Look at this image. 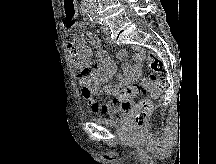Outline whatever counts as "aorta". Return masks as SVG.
Returning <instances> with one entry per match:
<instances>
[{"label": "aorta", "instance_id": "1", "mask_svg": "<svg viewBox=\"0 0 216 164\" xmlns=\"http://www.w3.org/2000/svg\"><path fill=\"white\" fill-rule=\"evenodd\" d=\"M87 10L91 17H95L97 14V0H86Z\"/></svg>", "mask_w": 216, "mask_h": 164}]
</instances>
